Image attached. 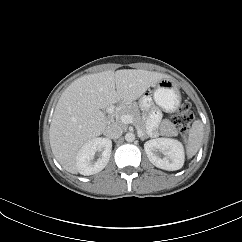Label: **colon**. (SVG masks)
Here are the masks:
<instances>
[{
	"label": "colon",
	"instance_id": "5ec220e1",
	"mask_svg": "<svg viewBox=\"0 0 242 242\" xmlns=\"http://www.w3.org/2000/svg\"><path fill=\"white\" fill-rule=\"evenodd\" d=\"M193 116L190 112V104L182 101L178 108V113L174 118V123L181 134H187L190 130Z\"/></svg>",
	"mask_w": 242,
	"mask_h": 242
}]
</instances>
